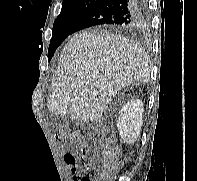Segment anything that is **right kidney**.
Segmentation results:
<instances>
[{
  "label": "right kidney",
  "instance_id": "ca27d5eb",
  "mask_svg": "<svg viewBox=\"0 0 197 181\" xmlns=\"http://www.w3.org/2000/svg\"><path fill=\"white\" fill-rule=\"evenodd\" d=\"M143 111V103L139 99L131 100L122 107L117 120V128L124 142L131 144L139 137Z\"/></svg>",
  "mask_w": 197,
  "mask_h": 181
}]
</instances>
